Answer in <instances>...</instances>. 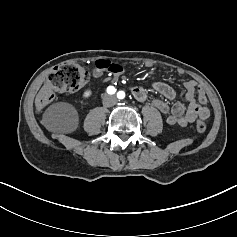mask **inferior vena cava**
I'll return each mask as SVG.
<instances>
[{
	"instance_id": "obj_1",
	"label": "inferior vena cava",
	"mask_w": 237,
	"mask_h": 237,
	"mask_svg": "<svg viewBox=\"0 0 237 237\" xmlns=\"http://www.w3.org/2000/svg\"><path fill=\"white\" fill-rule=\"evenodd\" d=\"M105 98L108 99V103L103 101V105L106 106V107H110V106H112V105H114L116 103V98L115 97L108 96V97H105ZM109 100H112V101H109Z\"/></svg>"
}]
</instances>
